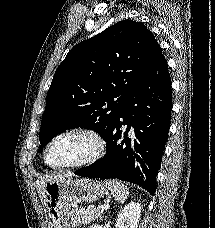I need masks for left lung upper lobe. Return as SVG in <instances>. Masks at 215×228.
<instances>
[{
    "instance_id": "left-lung-upper-lobe-1",
    "label": "left lung upper lobe",
    "mask_w": 215,
    "mask_h": 228,
    "mask_svg": "<svg viewBox=\"0 0 215 228\" xmlns=\"http://www.w3.org/2000/svg\"><path fill=\"white\" fill-rule=\"evenodd\" d=\"M160 52L145 25L129 19L75 45L57 68L49 88L39 152L70 128L93 129L106 140L120 108Z\"/></svg>"
}]
</instances>
